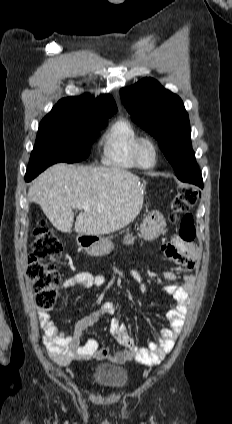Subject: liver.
<instances>
[{
  "instance_id": "obj_1",
  "label": "liver",
  "mask_w": 232,
  "mask_h": 424,
  "mask_svg": "<svg viewBox=\"0 0 232 424\" xmlns=\"http://www.w3.org/2000/svg\"><path fill=\"white\" fill-rule=\"evenodd\" d=\"M28 197L64 233L72 229L73 209L89 205L91 210L81 212L74 224L82 235L115 232L132 222L143 206L140 178L118 167L58 163L33 182Z\"/></svg>"
}]
</instances>
